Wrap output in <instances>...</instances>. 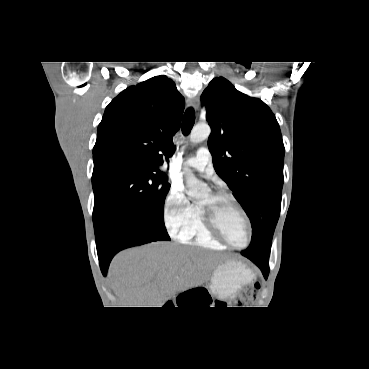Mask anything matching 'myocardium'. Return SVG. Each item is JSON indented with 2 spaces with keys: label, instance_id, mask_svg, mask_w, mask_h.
<instances>
[{
  "label": "myocardium",
  "instance_id": "f54148a6",
  "mask_svg": "<svg viewBox=\"0 0 369 369\" xmlns=\"http://www.w3.org/2000/svg\"><path fill=\"white\" fill-rule=\"evenodd\" d=\"M211 199L214 205L210 207L199 206L201 214H202V219H203L206 229L216 240H218L225 246H228L236 250H242V249L247 248L252 241L253 230H252L250 218L247 212L245 211V209L232 195L226 192H214L211 194ZM220 202H230L239 210V212L243 216L246 227H247V241L244 245L242 246L234 245L228 240V238L222 232L219 226L218 220H217V207H216V204Z\"/></svg>",
  "mask_w": 369,
  "mask_h": 369
}]
</instances>
